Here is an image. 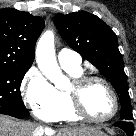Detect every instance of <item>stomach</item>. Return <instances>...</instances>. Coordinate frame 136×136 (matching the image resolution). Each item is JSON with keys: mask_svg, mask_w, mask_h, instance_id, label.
<instances>
[{"mask_svg": "<svg viewBox=\"0 0 136 136\" xmlns=\"http://www.w3.org/2000/svg\"><path fill=\"white\" fill-rule=\"evenodd\" d=\"M94 136H107L106 134H102V133H99V134H96Z\"/></svg>", "mask_w": 136, "mask_h": 136, "instance_id": "0dacf381", "label": "stomach"}]
</instances>
